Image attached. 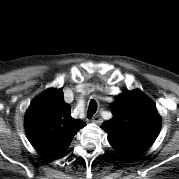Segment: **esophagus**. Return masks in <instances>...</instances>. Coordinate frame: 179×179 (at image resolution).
Returning <instances> with one entry per match:
<instances>
[{
	"label": "esophagus",
	"mask_w": 179,
	"mask_h": 179,
	"mask_svg": "<svg viewBox=\"0 0 179 179\" xmlns=\"http://www.w3.org/2000/svg\"><path fill=\"white\" fill-rule=\"evenodd\" d=\"M91 121L94 122V123H96V124H101V123L103 122V119L100 117L99 114H97V115H94V116L92 117V120H91Z\"/></svg>",
	"instance_id": "obj_1"
}]
</instances>
